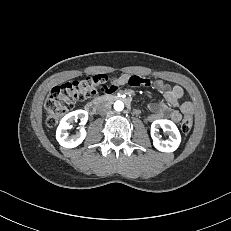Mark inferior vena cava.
<instances>
[{"mask_svg": "<svg viewBox=\"0 0 231 231\" xmlns=\"http://www.w3.org/2000/svg\"><path fill=\"white\" fill-rule=\"evenodd\" d=\"M97 111L101 115H105L111 111V104L108 102H101L97 106Z\"/></svg>", "mask_w": 231, "mask_h": 231, "instance_id": "602c4592", "label": "inferior vena cava"}]
</instances>
